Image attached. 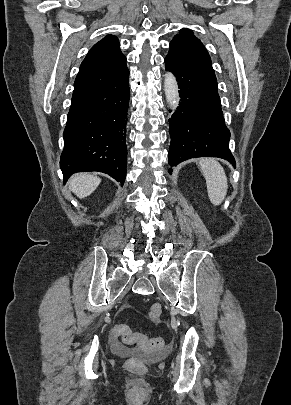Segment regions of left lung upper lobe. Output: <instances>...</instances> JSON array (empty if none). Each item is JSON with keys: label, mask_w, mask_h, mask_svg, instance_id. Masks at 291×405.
<instances>
[{"label": "left lung upper lobe", "mask_w": 291, "mask_h": 405, "mask_svg": "<svg viewBox=\"0 0 291 405\" xmlns=\"http://www.w3.org/2000/svg\"><path fill=\"white\" fill-rule=\"evenodd\" d=\"M174 38H183V39H187L193 43H196L198 45L203 46V44L201 43V41L199 39H197L193 32L189 29H182L180 31V34H177Z\"/></svg>", "instance_id": "obj_1"}]
</instances>
